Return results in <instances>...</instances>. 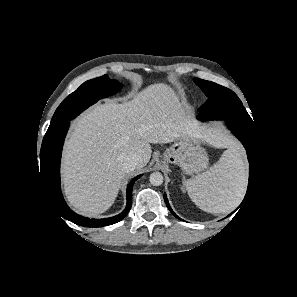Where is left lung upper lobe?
<instances>
[{
    "label": "left lung upper lobe",
    "instance_id": "obj_1",
    "mask_svg": "<svg viewBox=\"0 0 297 297\" xmlns=\"http://www.w3.org/2000/svg\"><path fill=\"white\" fill-rule=\"evenodd\" d=\"M194 82L208 97L200 108V120H232L255 129L254 122L243 107L241 100L230 89L214 82L195 78Z\"/></svg>",
    "mask_w": 297,
    "mask_h": 297
}]
</instances>
